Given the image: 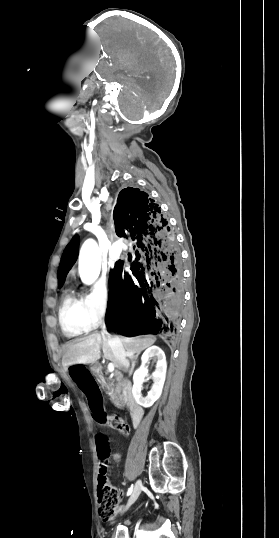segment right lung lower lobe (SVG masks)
Listing matches in <instances>:
<instances>
[{
  "instance_id": "1",
  "label": "right lung lower lobe",
  "mask_w": 279,
  "mask_h": 538,
  "mask_svg": "<svg viewBox=\"0 0 279 538\" xmlns=\"http://www.w3.org/2000/svg\"><path fill=\"white\" fill-rule=\"evenodd\" d=\"M114 221L116 234L133 241L137 251L131 274L121 262L110 273L106 325L120 334H172L184 310V280L168 221L147 193L132 187L120 192Z\"/></svg>"
}]
</instances>
